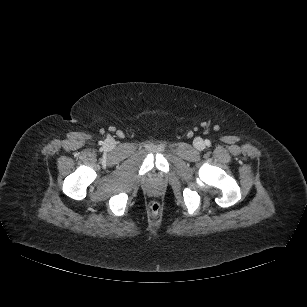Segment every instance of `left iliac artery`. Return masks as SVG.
Listing matches in <instances>:
<instances>
[{"instance_id": "obj_1", "label": "left iliac artery", "mask_w": 307, "mask_h": 307, "mask_svg": "<svg viewBox=\"0 0 307 307\" xmlns=\"http://www.w3.org/2000/svg\"><path fill=\"white\" fill-rule=\"evenodd\" d=\"M205 144L207 145V146H210V141L209 140H205Z\"/></svg>"}]
</instances>
